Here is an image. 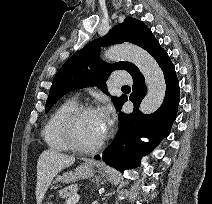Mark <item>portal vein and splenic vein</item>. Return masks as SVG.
<instances>
[{"label":"portal vein and splenic vein","instance_id":"1","mask_svg":"<svg viewBox=\"0 0 212 204\" xmlns=\"http://www.w3.org/2000/svg\"><path fill=\"white\" fill-rule=\"evenodd\" d=\"M80 199L79 195H74L68 199L67 204H76Z\"/></svg>","mask_w":212,"mask_h":204}]
</instances>
